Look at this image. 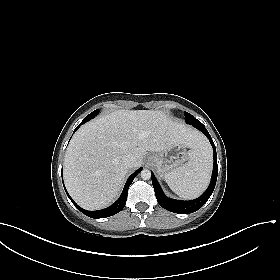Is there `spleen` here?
I'll return each mask as SVG.
<instances>
[{"label":"spleen","instance_id":"obj_1","mask_svg":"<svg viewBox=\"0 0 280 280\" xmlns=\"http://www.w3.org/2000/svg\"><path fill=\"white\" fill-rule=\"evenodd\" d=\"M189 154L187 163L165 174L171 190L184 199L199 196L207 188L212 171V152L207 143Z\"/></svg>","mask_w":280,"mask_h":280}]
</instances>
